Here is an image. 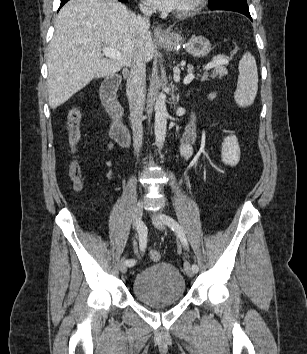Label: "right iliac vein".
<instances>
[{
	"label": "right iliac vein",
	"instance_id": "63e3f726",
	"mask_svg": "<svg viewBox=\"0 0 307 354\" xmlns=\"http://www.w3.org/2000/svg\"><path fill=\"white\" fill-rule=\"evenodd\" d=\"M143 214V203L139 200L136 203L135 210H134V216H133V222H134V227L137 229V226L139 223H141V218ZM138 230V229H137ZM119 269L121 273H126L128 266L126 265V259L122 258L119 264Z\"/></svg>",
	"mask_w": 307,
	"mask_h": 354
}]
</instances>
